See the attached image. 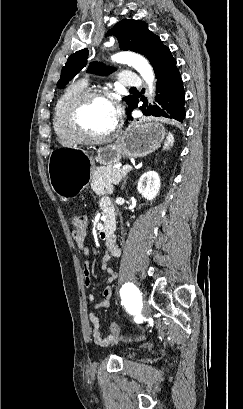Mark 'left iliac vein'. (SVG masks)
Returning <instances> with one entry per match:
<instances>
[{
  "label": "left iliac vein",
  "instance_id": "left-iliac-vein-1",
  "mask_svg": "<svg viewBox=\"0 0 243 409\" xmlns=\"http://www.w3.org/2000/svg\"><path fill=\"white\" fill-rule=\"evenodd\" d=\"M142 314H143L145 317H148V316L150 315V307H149V305H148L147 302H144V304H143Z\"/></svg>",
  "mask_w": 243,
  "mask_h": 409
}]
</instances>
